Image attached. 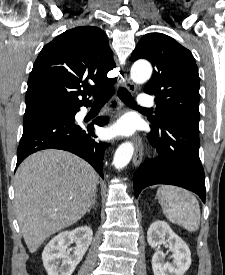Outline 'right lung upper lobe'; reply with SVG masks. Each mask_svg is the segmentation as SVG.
I'll list each match as a JSON object with an SVG mask.
<instances>
[{
  "mask_svg": "<svg viewBox=\"0 0 225 275\" xmlns=\"http://www.w3.org/2000/svg\"><path fill=\"white\" fill-rule=\"evenodd\" d=\"M114 67L107 36L100 28L83 26L62 33L43 47L34 63L24 116L89 106L86 93L112 85L115 80L107 73Z\"/></svg>",
  "mask_w": 225,
  "mask_h": 275,
  "instance_id": "right-lung-upper-lobe-1",
  "label": "right lung upper lobe"
}]
</instances>
